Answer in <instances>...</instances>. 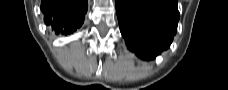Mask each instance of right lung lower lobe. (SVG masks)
I'll return each instance as SVG.
<instances>
[{
    "label": "right lung lower lobe",
    "instance_id": "98d812e1",
    "mask_svg": "<svg viewBox=\"0 0 228 90\" xmlns=\"http://www.w3.org/2000/svg\"><path fill=\"white\" fill-rule=\"evenodd\" d=\"M87 7V0L41 1L44 21L56 34H70L79 28L84 21Z\"/></svg>",
    "mask_w": 228,
    "mask_h": 90
}]
</instances>
